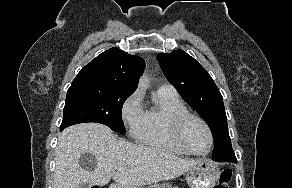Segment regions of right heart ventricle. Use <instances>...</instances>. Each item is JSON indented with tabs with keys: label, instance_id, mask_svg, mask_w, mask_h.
<instances>
[{
	"label": "right heart ventricle",
	"instance_id": "obj_1",
	"mask_svg": "<svg viewBox=\"0 0 292 188\" xmlns=\"http://www.w3.org/2000/svg\"><path fill=\"white\" fill-rule=\"evenodd\" d=\"M187 112L177 93L158 89L153 94V105L143 111L141 125L135 134L137 140L174 154H185L172 136L171 123L176 116Z\"/></svg>",
	"mask_w": 292,
	"mask_h": 188
}]
</instances>
